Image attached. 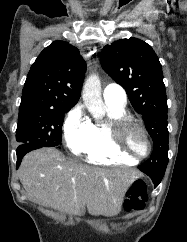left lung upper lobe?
<instances>
[{
  "label": "left lung upper lobe",
  "instance_id": "obj_1",
  "mask_svg": "<svg viewBox=\"0 0 187 242\" xmlns=\"http://www.w3.org/2000/svg\"><path fill=\"white\" fill-rule=\"evenodd\" d=\"M105 72L128 94L152 137L153 152L140 169L165 173L168 164L167 97L162 66L150 45L137 38L106 45L100 55Z\"/></svg>",
  "mask_w": 187,
  "mask_h": 242
}]
</instances>
